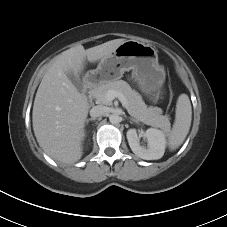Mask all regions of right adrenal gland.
<instances>
[{"label":"right adrenal gland","mask_w":227,"mask_h":227,"mask_svg":"<svg viewBox=\"0 0 227 227\" xmlns=\"http://www.w3.org/2000/svg\"><path fill=\"white\" fill-rule=\"evenodd\" d=\"M94 120H95V118H89L86 120V123L88 124L89 121H94Z\"/></svg>","instance_id":"2a0ac1e0"}]
</instances>
